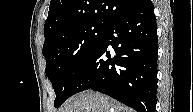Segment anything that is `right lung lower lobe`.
Wrapping results in <instances>:
<instances>
[{"mask_svg": "<svg viewBox=\"0 0 193 112\" xmlns=\"http://www.w3.org/2000/svg\"><path fill=\"white\" fill-rule=\"evenodd\" d=\"M109 45L114 52L107 51ZM157 27L151 0H141L106 26L77 77L70 96L88 89L104 93L137 112H155Z\"/></svg>", "mask_w": 193, "mask_h": 112, "instance_id": "right-lung-lower-lobe-1", "label": "right lung lower lobe"}]
</instances>
